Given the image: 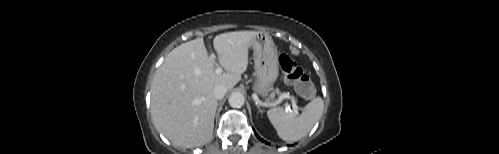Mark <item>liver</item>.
<instances>
[{"label": "liver", "mask_w": 499, "mask_h": 154, "mask_svg": "<svg viewBox=\"0 0 499 154\" xmlns=\"http://www.w3.org/2000/svg\"><path fill=\"white\" fill-rule=\"evenodd\" d=\"M259 32L235 31L214 38L219 64L226 73H215V59L203 38L173 49L157 70L151 86V114L156 128L175 146L197 147L212 139L217 100L216 85L231 90L248 66L251 40Z\"/></svg>", "instance_id": "obj_1"}]
</instances>
